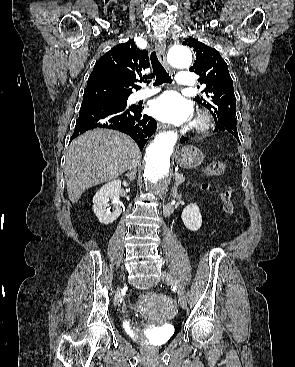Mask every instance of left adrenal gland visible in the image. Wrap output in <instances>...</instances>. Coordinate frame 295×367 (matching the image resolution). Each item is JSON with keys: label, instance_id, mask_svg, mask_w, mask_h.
Returning a JSON list of instances; mask_svg holds the SVG:
<instances>
[{"label": "left adrenal gland", "instance_id": "obj_1", "mask_svg": "<svg viewBox=\"0 0 295 367\" xmlns=\"http://www.w3.org/2000/svg\"><path fill=\"white\" fill-rule=\"evenodd\" d=\"M173 191H176L177 190V186L174 185L173 188H172Z\"/></svg>", "mask_w": 295, "mask_h": 367}]
</instances>
